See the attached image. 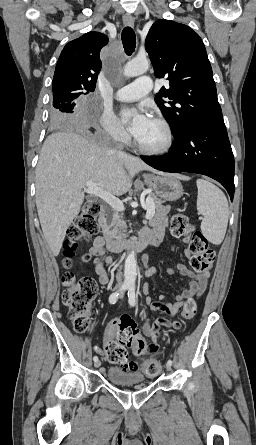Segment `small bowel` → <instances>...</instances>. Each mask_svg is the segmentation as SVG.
Listing matches in <instances>:
<instances>
[{
	"label": "small bowel",
	"mask_w": 256,
	"mask_h": 445,
	"mask_svg": "<svg viewBox=\"0 0 256 445\" xmlns=\"http://www.w3.org/2000/svg\"><path fill=\"white\" fill-rule=\"evenodd\" d=\"M167 225V208H161L153 218L150 226L142 231V235H148L152 238L154 245H159L165 236V229ZM90 255L94 258H99L95 265V273L99 277L101 284L106 285L109 282V276L107 273L106 265L113 263L112 257L107 254L105 248V241L101 236L94 238L93 245L89 251ZM186 257H190V252L185 251ZM147 259V256H144ZM169 272L172 274L182 275L189 278L188 288L182 291L177 297L174 303L166 301L165 295H160L158 300L150 301L148 306L151 311L157 312L169 317H175L181 307L184 300L188 297H201L207 287V281L209 278V272H194L183 264H178L169 268ZM155 273L153 267L147 269V275L151 276ZM180 329L181 324L178 321H170L165 318H158L153 323L146 321L143 325V333L151 338L150 343H146V352L157 351L160 347L159 338L163 334V328ZM118 331V319L110 321L104 332V346L114 341L115 335ZM95 350L101 353L102 350L96 347ZM145 352V353H146ZM144 353V354H145ZM120 368L126 370L137 371L139 365L134 361H125L120 364Z\"/></svg>",
	"instance_id": "c3829d8e"
}]
</instances>
